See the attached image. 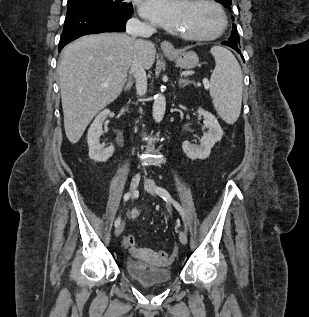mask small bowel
<instances>
[{
    "instance_id": "obj_1",
    "label": "small bowel",
    "mask_w": 309,
    "mask_h": 317,
    "mask_svg": "<svg viewBox=\"0 0 309 317\" xmlns=\"http://www.w3.org/2000/svg\"><path fill=\"white\" fill-rule=\"evenodd\" d=\"M131 252L135 253L136 249L135 248H130Z\"/></svg>"
}]
</instances>
